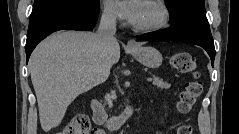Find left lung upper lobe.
Returning a JSON list of instances; mask_svg holds the SVG:
<instances>
[{"label":"left lung upper lobe","instance_id":"1","mask_svg":"<svg viewBox=\"0 0 239 134\" xmlns=\"http://www.w3.org/2000/svg\"><path fill=\"white\" fill-rule=\"evenodd\" d=\"M170 12L171 25L191 12H205L204 0H165Z\"/></svg>","mask_w":239,"mask_h":134}]
</instances>
